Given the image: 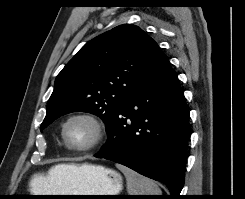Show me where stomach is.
Here are the masks:
<instances>
[{
	"label": "stomach",
	"mask_w": 245,
	"mask_h": 199,
	"mask_svg": "<svg viewBox=\"0 0 245 199\" xmlns=\"http://www.w3.org/2000/svg\"><path fill=\"white\" fill-rule=\"evenodd\" d=\"M60 183V182H59ZM62 183V190L50 195H117L122 190V176L103 166L83 164ZM99 196H78L57 199H101Z\"/></svg>",
	"instance_id": "0dacf381"
}]
</instances>
